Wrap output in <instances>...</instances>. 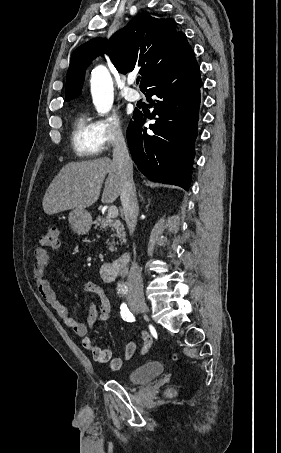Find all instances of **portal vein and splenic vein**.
I'll return each instance as SVG.
<instances>
[{"label":"portal vein and splenic vein","instance_id":"portal-vein-and-splenic-vein-1","mask_svg":"<svg viewBox=\"0 0 281 453\" xmlns=\"http://www.w3.org/2000/svg\"><path fill=\"white\" fill-rule=\"evenodd\" d=\"M118 216L117 206H109L108 208V218H116Z\"/></svg>","mask_w":281,"mask_h":453}]
</instances>
